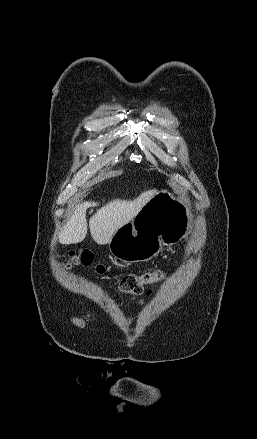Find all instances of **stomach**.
<instances>
[{
  "instance_id": "0dacf381",
  "label": "stomach",
  "mask_w": 257,
  "mask_h": 439,
  "mask_svg": "<svg viewBox=\"0 0 257 439\" xmlns=\"http://www.w3.org/2000/svg\"><path fill=\"white\" fill-rule=\"evenodd\" d=\"M193 214L187 201L167 190L155 193L132 221L109 242L111 254L126 263L149 261L163 245L177 244L191 231Z\"/></svg>"
}]
</instances>
